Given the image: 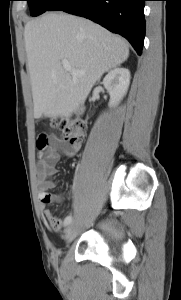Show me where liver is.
I'll return each instance as SVG.
<instances>
[{
	"label": "liver",
	"instance_id": "6515ba94",
	"mask_svg": "<svg viewBox=\"0 0 181 300\" xmlns=\"http://www.w3.org/2000/svg\"><path fill=\"white\" fill-rule=\"evenodd\" d=\"M34 117L73 114L101 76L129 56L127 42L88 19L46 13L24 30ZM67 61L80 76H72Z\"/></svg>",
	"mask_w": 181,
	"mask_h": 300
}]
</instances>
